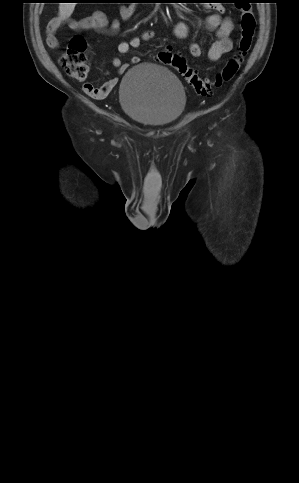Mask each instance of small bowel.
<instances>
[{
  "label": "small bowel",
  "mask_w": 299,
  "mask_h": 483,
  "mask_svg": "<svg viewBox=\"0 0 299 483\" xmlns=\"http://www.w3.org/2000/svg\"><path fill=\"white\" fill-rule=\"evenodd\" d=\"M212 9L213 12L207 15L204 23L208 29L215 31V40L208 49L207 58L210 62H216L232 50L233 44L230 36L233 30V23L229 18L222 16L225 12V8L222 5H214ZM120 14L123 20H127L131 17L132 10L129 7L122 6L120 8ZM61 23L62 20L60 18H54L48 24L46 42L52 49H56L59 46L56 32ZM68 27L74 31L94 30L107 35H115L121 29V21L119 19L109 21L102 11H95L89 17L70 20ZM173 34L178 39H185L189 34V27L184 22H178L173 27ZM155 37L156 32L154 30H146L140 36L121 41L118 44V51L121 54H127L131 49L139 47L142 42L151 41ZM189 53L192 57L198 58L202 55V49L198 43L192 42L189 45ZM139 62L140 58L137 56L131 57L130 63H124L118 57L113 58L111 61L112 65L118 69L120 74L124 73L130 64H137ZM117 82L118 78L113 77L100 86H94L91 83L84 84L83 89L89 96L101 100L109 95Z\"/></svg>",
  "instance_id": "small-bowel-1"
}]
</instances>
